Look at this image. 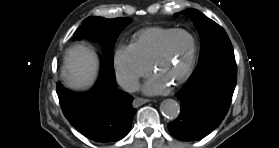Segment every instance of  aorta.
Listing matches in <instances>:
<instances>
[{
  "instance_id": "aorta-1",
  "label": "aorta",
  "mask_w": 279,
  "mask_h": 148,
  "mask_svg": "<svg viewBox=\"0 0 279 148\" xmlns=\"http://www.w3.org/2000/svg\"><path fill=\"white\" fill-rule=\"evenodd\" d=\"M160 110L166 118L176 119L180 113V105L174 99H166L161 102Z\"/></svg>"
}]
</instances>
